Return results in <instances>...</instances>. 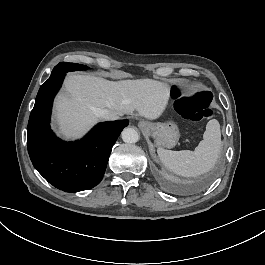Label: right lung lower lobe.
<instances>
[{
  "label": "right lung lower lobe",
  "mask_w": 265,
  "mask_h": 265,
  "mask_svg": "<svg viewBox=\"0 0 265 265\" xmlns=\"http://www.w3.org/2000/svg\"><path fill=\"white\" fill-rule=\"evenodd\" d=\"M65 74L51 75L41 86L28 122L27 148L34 167L49 183L78 192L100 183L112 146L129 121L99 123L80 141L57 138L50 129V114Z\"/></svg>",
  "instance_id": "98d812e1"
}]
</instances>
